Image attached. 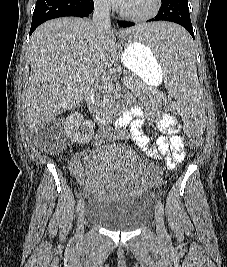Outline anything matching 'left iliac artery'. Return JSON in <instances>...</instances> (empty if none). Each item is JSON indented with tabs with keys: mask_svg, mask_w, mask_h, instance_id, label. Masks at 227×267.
<instances>
[{
	"mask_svg": "<svg viewBox=\"0 0 227 267\" xmlns=\"http://www.w3.org/2000/svg\"><path fill=\"white\" fill-rule=\"evenodd\" d=\"M157 206L162 214H164V206L160 200L157 201Z\"/></svg>",
	"mask_w": 227,
	"mask_h": 267,
	"instance_id": "44dca946",
	"label": "left iliac artery"
}]
</instances>
